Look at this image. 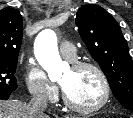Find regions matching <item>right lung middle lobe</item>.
<instances>
[{
    "label": "right lung middle lobe",
    "mask_w": 133,
    "mask_h": 118,
    "mask_svg": "<svg viewBox=\"0 0 133 118\" xmlns=\"http://www.w3.org/2000/svg\"><path fill=\"white\" fill-rule=\"evenodd\" d=\"M17 59L0 58V96L11 94L17 88Z\"/></svg>",
    "instance_id": "obj_1"
}]
</instances>
